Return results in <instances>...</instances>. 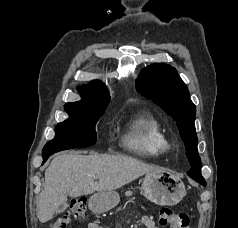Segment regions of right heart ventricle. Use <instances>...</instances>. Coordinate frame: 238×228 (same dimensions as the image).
<instances>
[{
    "instance_id": "right-heart-ventricle-1",
    "label": "right heart ventricle",
    "mask_w": 238,
    "mask_h": 228,
    "mask_svg": "<svg viewBox=\"0 0 238 228\" xmlns=\"http://www.w3.org/2000/svg\"><path fill=\"white\" fill-rule=\"evenodd\" d=\"M165 141L161 122L151 113L140 111L126 121L121 143L132 154L159 158L165 153Z\"/></svg>"
}]
</instances>
